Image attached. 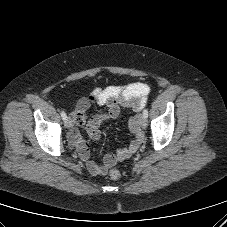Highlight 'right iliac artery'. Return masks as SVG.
Returning <instances> with one entry per match:
<instances>
[{
    "label": "right iliac artery",
    "mask_w": 227,
    "mask_h": 227,
    "mask_svg": "<svg viewBox=\"0 0 227 227\" xmlns=\"http://www.w3.org/2000/svg\"><path fill=\"white\" fill-rule=\"evenodd\" d=\"M61 117L63 120H66L67 116L66 113L64 111H61Z\"/></svg>",
    "instance_id": "1"
}]
</instances>
